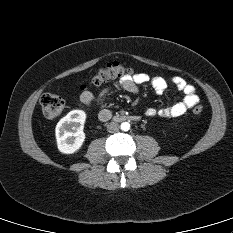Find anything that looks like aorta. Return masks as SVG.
I'll return each mask as SVG.
<instances>
[{"mask_svg":"<svg viewBox=\"0 0 233 233\" xmlns=\"http://www.w3.org/2000/svg\"><path fill=\"white\" fill-rule=\"evenodd\" d=\"M130 129V124L128 122L121 123V130L128 131Z\"/></svg>","mask_w":233,"mask_h":233,"instance_id":"762f6f07","label":"aorta"}]
</instances>
